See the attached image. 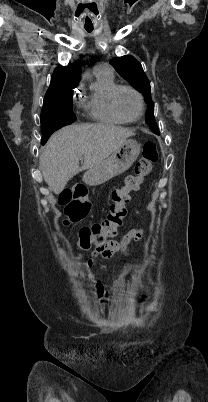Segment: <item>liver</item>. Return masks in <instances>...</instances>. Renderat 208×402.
Here are the masks:
<instances>
[{"mask_svg": "<svg viewBox=\"0 0 208 402\" xmlns=\"http://www.w3.org/2000/svg\"><path fill=\"white\" fill-rule=\"evenodd\" d=\"M129 136L134 134L128 128L106 124L66 126L55 132L40 156L42 176L49 190L60 194L73 176L104 162ZM82 156L84 164L79 168Z\"/></svg>", "mask_w": 208, "mask_h": 402, "instance_id": "6515ba94", "label": "liver"}]
</instances>
